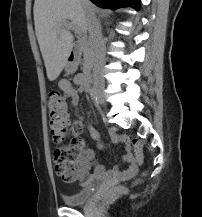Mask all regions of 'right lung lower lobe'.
<instances>
[{
    "mask_svg": "<svg viewBox=\"0 0 202 217\" xmlns=\"http://www.w3.org/2000/svg\"><path fill=\"white\" fill-rule=\"evenodd\" d=\"M94 4L102 8H122L131 4L138 5V0H91Z\"/></svg>",
    "mask_w": 202,
    "mask_h": 217,
    "instance_id": "right-lung-lower-lobe-1",
    "label": "right lung lower lobe"
}]
</instances>
